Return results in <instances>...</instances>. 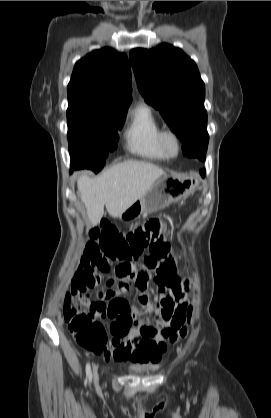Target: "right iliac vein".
I'll use <instances>...</instances> for the list:
<instances>
[{"mask_svg":"<svg viewBox=\"0 0 271 418\" xmlns=\"http://www.w3.org/2000/svg\"><path fill=\"white\" fill-rule=\"evenodd\" d=\"M93 375H94L95 383L97 384V382H98V373H97L96 368L93 369Z\"/></svg>","mask_w":271,"mask_h":418,"instance_id":"1","label":"right iliac vein"}]
</instances>
